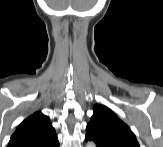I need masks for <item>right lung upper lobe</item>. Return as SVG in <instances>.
I'll list each match as a JSON object with an SVG mask.
<instances>
[{
    "label": "right lung upper lobe",
    "mask_w": 163,
    "mask_h": 147,
    "mask_svg": "<svg viewBox=\"0 0 163 147\" xmlns=\"http://www.w3.org/2000/svg\"><path fill=\"white\" fill-rule=\"evenodd\" d=\"M57 136L49 118L41 112H36L25 119L11 136L8 147H18L22 144L47 143Z\"/></svg>",
    "instance_id": "1"
}]
</instances>
